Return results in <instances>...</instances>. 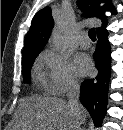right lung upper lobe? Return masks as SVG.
<instances>
[{
	"label": "right lung upper lobe",
	"mask_w": 123,
	"mask_h": 130,
	"mask_svg": "<svg viewBox=\"0 0 123 130\" xmlns=\"http://www.w3.org/2000/svg\"><path fill=\"white\" fill-rule=\"evenodd\" d=\"M102 2H105L104 7L99 6ZM78 5L87 16L102 20V27L97 28V33L106 29L107 18L105 11L109 9L112 13L116 12L111 0H78ZM53 25L54 20L50 7H45L36 13L25 40L23 57L41 52L49 39Z\"/></svg>",
	"instance_id": "obj_1"
}]
</instances>
